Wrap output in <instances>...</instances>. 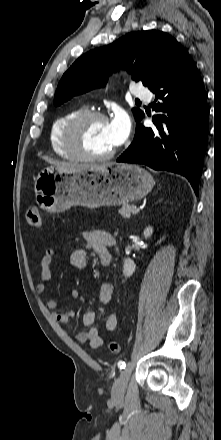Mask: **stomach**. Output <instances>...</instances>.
Wrapping results in <instances>:
<instances>
[{
  "mask_svg": "<svg viewBox=\"0 0 221 440\" xmlns=\"http://www.w3.org/2000/svg\"><path fill=\"white\" fill-rule=\"evenodd\" d=\"M155 182L138 165L105 163L82 171L49 166L35 181L36 202L50 213H60L73 205L98 208L121 205L146 196Z\"/></svg>",
  "mask_w": 221,
  "mask_h": 440,
  "instance_id": "stomach-1",
  "label": "stomach"
}]
</instances>
